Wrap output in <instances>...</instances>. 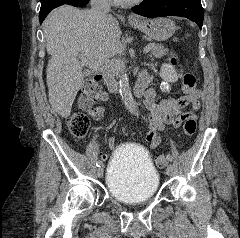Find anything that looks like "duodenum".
Segmentation results:
<instances>
[{
    "label": "duodenum",
    "instance_id": "duodenum-1",
    "mask_svg": "<svg viewBox=\"0 0 240 238\" xmlns=\"http://www.w3.org/2000/svg\"><path fill=\"white\" fill-rule=\"evenodd\" d=\"M105 84L110 92L117 91V83L110 73L104 74ZM149 84V76L146 73H143L134 87V93L137 97H141L146 94V88Z\"/></svg>",
    "mask_w": 240,
    "mask_h": 238
}]
</instances>
